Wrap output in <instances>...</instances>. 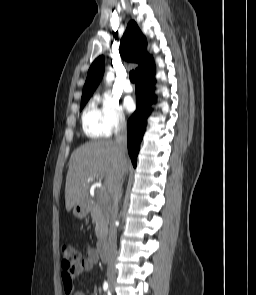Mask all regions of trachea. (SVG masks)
<instances>
[{
	"mask_svg": "<svg viewBox=\"0 0 256 295\" xmlns=\"http://www.w3.org/2000/svg\"><path fill=\"white\" fill-rule=\"evenodd\" d=\"M129 78H130V81L131 82H135V72L134 71H131L130 73H129Z\"/></svg>",
	"mask_w": 256,
	"mask_h": 295,
	"instance_id": "trachea-1",
	"label": "trachea"
}]
</instances>
